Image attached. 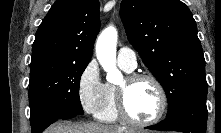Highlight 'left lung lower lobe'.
Instances as JSON below:
<instances>
[{"mask_svg":"<svg viewBox=\"0 0 221 133\" xmlns=\"http://www.w3.org/2000/svg\"><path fill=\"white\" fill-rule=\"evenodd\" d=\"M207 124L206 97L193 98L160 123L146 127L152 130L205 133Z\"/></svg>","mask_w":221,"mask_h":133,"instance_id":"left-lung-lower-lobe-1","label":"left lung lower lobe"}]
</instances>
